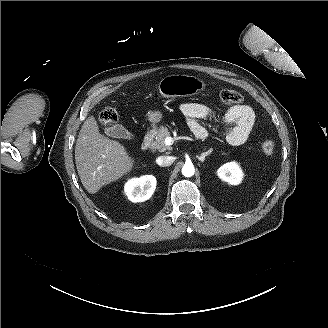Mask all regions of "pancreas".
<instances>
[{
    "instance_id": "1",
    "label": "pancreas",
    "mask_w": 328,
    "mask_h": 328,
    "mask_svg": "<svg viewBox=\"0 0 328 328\" xmlns=\"http://www.w3.org/2000/svg\"><path fill=\"white\" fill-rule=\"evenodd\" d=\"M171 135L172 134L171 132H169L168 128L166 126H162L159 129L158 134L155 140L153 141L152 145L160 151L172 150L171 146H167L164 144L165 138L170 137Z\"/></svg>"
}]
</instances>
